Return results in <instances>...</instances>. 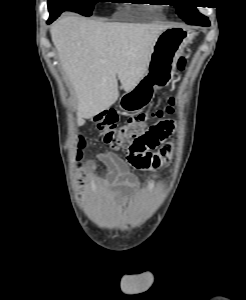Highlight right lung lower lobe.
Listing matches in <instances>:
<instances>
[{
  "label": "right lung lower lobe",
  "mask_w": 246,
  "mask_h": 300,
  "mask_svg": "<svg viewBox=\"0 0 246 300\" xmlns=\"http://www.w3.org/2000/svg\"><path fill=\"white\" fill-rule=\"evenodd\" d=\"M59 16V15H58ZM58 16H52V17H49L47 23L50 24L52 23Z\"/></svg>",
  "instance_id": "1"
}]
</instances>
